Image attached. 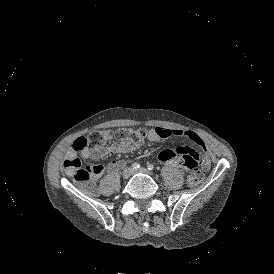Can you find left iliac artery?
Here are the masks:
<instances>
[{
  "mask_svg": "<svg viewBox=\"0 0 274 274\" xmlns=\"http://www.w3.org/2000/svg\"><path fill=\"white\" fill-rule=\"evenodd\" d=\"M147 168H148V170H153V169H154V166H153L152 164H148V165H147Z\"/></svg>",
  "mask_w": 274,
  "mask_h": 274,
  "instance_id": "obj_1",
  "label": "left iliac artery"
}]
</instances>
